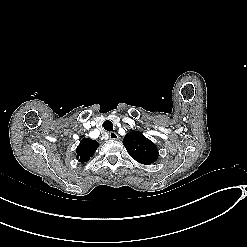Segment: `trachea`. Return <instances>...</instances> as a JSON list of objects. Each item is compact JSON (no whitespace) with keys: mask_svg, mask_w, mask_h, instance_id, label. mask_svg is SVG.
<instances>
[{"mask_svg":"<svg viewBox=\"0 0 247 247\" xmlns=\"http://www.w3.org/2000/svg\"><path fill=\"white\" fill-rule=\"evenodd\" d=\"M103 128L106 130V131H113V124L111 121L109 120H106L104 123H103Z\"/></svg>","mask_w":247,"mask_h":247,"instance_id":"trachea-1","label":"trachea"}]
</instances>
